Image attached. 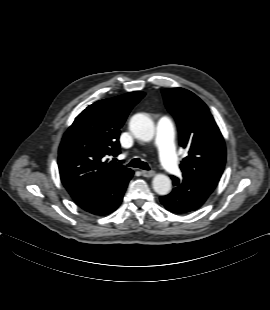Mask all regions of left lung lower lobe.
<instances>
[{"instance_id":"left-lung-lower-lobe-1","label":"left lung lower lobe","mask_w":270,"mask_h":310,"mask_svg":"<svg viewBox=\"0 0 270 310\" xmlns=\"http://www.w3.org/2000/svg\"><path fill=\"white\" fill-rule=\"evenodd\" d=\"M174 189L167 196H161L165 208L175 213H188L199 209L214 191L216 185L183 177L171 176Z\"/></svg>"}]
</instances>
